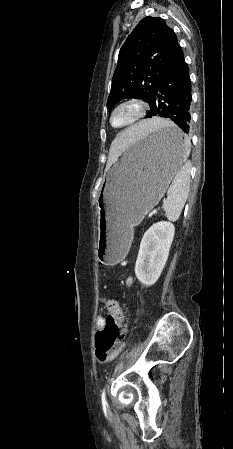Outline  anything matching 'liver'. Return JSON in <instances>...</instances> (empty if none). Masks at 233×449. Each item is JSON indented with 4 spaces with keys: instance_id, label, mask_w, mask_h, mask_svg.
Returning <instances> with one entry per match:
<instances>
[{
    "instance_id": "6515ba94",
    "label": "liver",
    "mask_w": 233,
    "mask_h": 449,
    "mask_svg": "<svg viewBox=\"0 0 233 449\" xmlns=\"http://www.w3.org/2000/svg\"><path fill=\"white\" fill-rule=\"evenodd\" d=\"M169 123L161 118L146 119L126 128L121 133H114L109 151L110 164L115 162L132 143L140 142L142 137L150 131Z\"/></svg>"
}]
</instances>
